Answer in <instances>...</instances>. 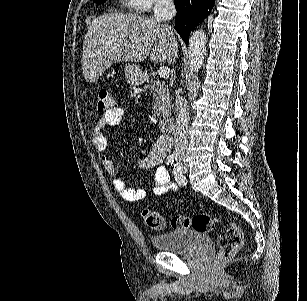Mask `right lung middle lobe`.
<instances>
[{
    "mask_svg": "<svg viewBox=\"0 0 307 301\" xmlns=\"http://www.w3.org/2000/svg\"><path fill=\"white\" fill-rule=\"evenodd\" d=\"M106 0H94V2L95 3H97V4H102V3H104Z\"/></svg>",
    "mask_w": 307,
    "mask_h": 301,
    "instance_id": "dd1d6c3e",
    "label": "right lung middle lobe"
}]
</instances>
